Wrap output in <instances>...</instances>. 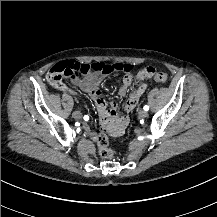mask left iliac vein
Returning <instances> with one entry per match:
<instances>
[{
  "label": "left iliac vein",
  "mask_w": 217,
  "mask_h": 217,
  "mask_svg": "<svg viewBox=\"0 0 217 217\" xmlns=\"http://www.w3.org/2000/svg\"><path fill=\"white\" fill-rule=\"evenodd\" d=\"M138 115L140 118H146L148 116V113L145 110H140Z\"/></svg>",
  "instance_id": "4c4485c4"
}]
</instances>
